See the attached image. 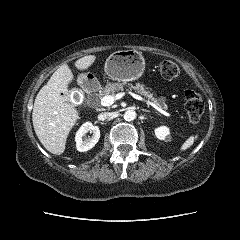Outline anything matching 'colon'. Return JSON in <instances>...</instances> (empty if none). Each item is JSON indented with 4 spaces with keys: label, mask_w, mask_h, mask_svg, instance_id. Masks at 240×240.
Listing matches in <instances>:
<instances>
[{
    "label": "colon",
    "mask_w": 240,
    "mask_h": 240,
    "mask_svg": "<svg viewBox=\"0 0 240 240\" xmlns=\"http://www.w3.org/2000/svg\"><path fill=\"white\" fill-rule=\"evenodd\" d=\"M159 72L165 79H174L179 75L178 65L171 61H162L159 65ZM185 112L190 122L197 123L204 113V101L200 94L194 90H187L184 95Z\"/></svg>",
    "instance_id": "colon-1"
}]
</instances>
